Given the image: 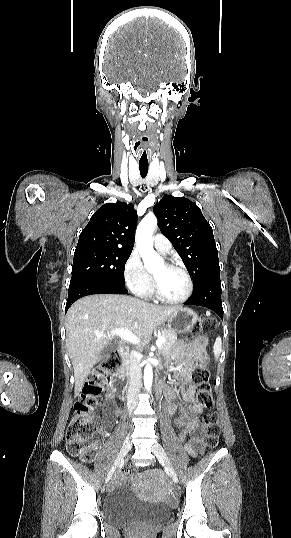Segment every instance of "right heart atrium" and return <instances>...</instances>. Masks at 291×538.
<instances>
[{"label":"right heart atrium","mask_w":291,"mask_h":538,"mask_svg":"<svg viewBox=\"0 0 291 538\" xmlns=\"http://www.w3.org/2000/svg\"><path fill=\"white\" fill-rule=\"evenodd\" d=\"M123 278L127 287L138 296H145L151 288V278L146 272L140 256L132 252L123 267Z\"/></svg>","instance_id":"d8ad5b80"}]
</instances>
